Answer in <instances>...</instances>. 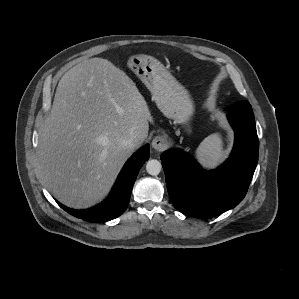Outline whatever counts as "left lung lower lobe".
Masks as SVG:
<instances>
[{
    "label": "left lung lower lobe",
    "instance_id": "0a47b994",
    "mask_svg": "<svg viewBox=\"0 0 299 299\" xmlns=\"http://www.w3.org/2000/svg\"><path fill=\"white\" fill-rule=\"evenodd\" d=\"M235 132L230 158L205 171L189 154L172 149L161 155L170 199L180 212L209 218L238 205L245 197L258 162V137L252 111H230Z\"/></svg>",
    "mask_w": 299,
    "mask_h": 299
}]
</instances>
